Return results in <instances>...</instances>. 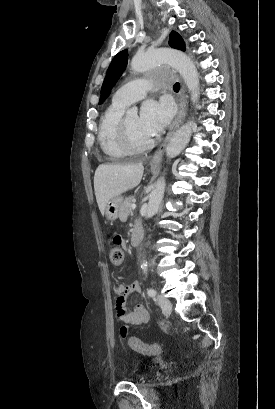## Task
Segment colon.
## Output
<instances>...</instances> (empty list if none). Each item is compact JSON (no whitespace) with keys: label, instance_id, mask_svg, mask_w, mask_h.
<instances>
[{"label":"colon","instance_id":"colon-1","mask_svg":"<svg viewBox=\"0 0 275 409\" xmlns=\"http://www.w3.org/2000/svg\"><path fill=\"white\" fill-rule=\"evenodd\" d=\"M122 236L119 233H114L108 236V246L110 247L111 262L114 266H119L124 259V251L121 248ZM128 346L134 350L141 352L142 358H153L155 351L160 349V344L157 342H141L133 337H128Z\"/></svg>","mask_w":275,"mask_h":409}]
</instances>
